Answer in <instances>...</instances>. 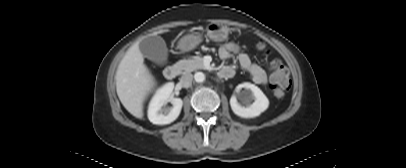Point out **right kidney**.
<instances>
[{"label":"right kidney","mask_w":406,"mask_h":168,"mask_svg":"<svg viewBox=\"0 0 406 168\" xmlns=\"http://www.w3.org/2000/svg\"><path fill=\"white\" fill-rule=\"evenodd\" d=\"M173 88L174 84L172 82L166 83L153 96L148 108V119L153 124H170L178 118L183 101L180 98H172L170 96ZM167 102H171L173 107L165 108L164 106Z\"/></svg>","instance_id":"1"}]
</instances>
